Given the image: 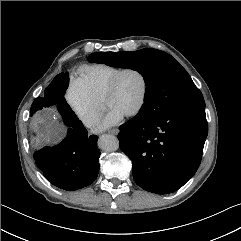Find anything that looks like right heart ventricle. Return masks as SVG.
<instances>
[{
	"label": "right heart ventricle",
	"mask_w": 241,
	"mask_h": 241,
	"mask_svg": "<svg viewBox=\"0 0 241 241\" xmlns=\"http://www.w3.org/2000/svg\"><path fill=\"white\" fill-rule=\"evenodd\" d=\"M121 69L110 64L84 65L79 69V80L96 100L101 101L109 81Z\"/></svg>",
	"instance_id": "e07e8e85"
}]
</instances>
